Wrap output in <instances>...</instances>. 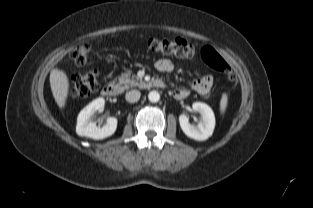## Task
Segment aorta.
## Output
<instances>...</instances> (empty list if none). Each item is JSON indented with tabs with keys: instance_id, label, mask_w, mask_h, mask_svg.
I'll return each instance as SVG.
<instances>
[{
	"instance_id": "1",
	"label": "aorta",
	"mask_w": 313,
	"mask_h": 208,
	"mask_svg": "<svg viewBox=\"0 0 313 208\" xmlns=\"http://www.w3.org/2000/svg\"><path fill=\"white\" fill-rule=\"evenodd\" d=\"M148 99L152 103H156L160 99V94L157 91H151L148 94Z\"/></svg>"
}]
</instances>
